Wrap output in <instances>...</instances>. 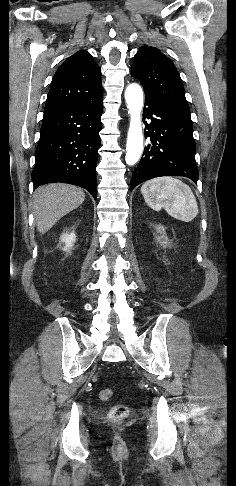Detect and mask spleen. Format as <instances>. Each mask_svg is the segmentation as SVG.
<instances>
[{"label":"spleen","mask_w":236,"mask_h":486,"mask_svg":"<svg viewBox=\"0 0 236 486\" xmlns=\"http://www.w3.org/2000/svg\"><path fill=\"white\" fill-rule=\"evenodd\" d=\"M141 193L152 209L162 207L173 217L184 222L192 221L198 214V205L191 188L173 177H160L144 183Z\"/></svg>","instance_id":"obj_1"}]
</instances>
